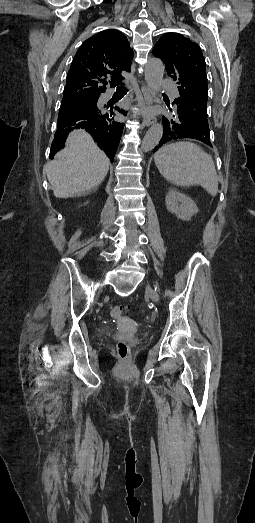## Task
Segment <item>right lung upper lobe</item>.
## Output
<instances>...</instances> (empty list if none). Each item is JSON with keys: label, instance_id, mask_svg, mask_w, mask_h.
<instances>
[{"label": "right lung upper lobe", "instance_id": "1", "mask_svg": "<svg viewBox=\"0 0 255 523\" xmlns=\"http://www.w3.org/2000/svg\"><path fill=\"white\" fill-rule=\"evenodd\" d=\"M133 51L127 38L118 30H104L87 39L76 52L67 74L58 125L51 145L50 158L64 147L67 135L75 128H85L113 161L124 124L125 112L116 104H103L100 94L106 85L115 87L124 78L121 72L130 71ZM96 106L97 120L87 123L79 118V109ZM77 125V127H71Z\"/></svg>", "mask_w": 255, "mask_h": 523}]
</instances>
